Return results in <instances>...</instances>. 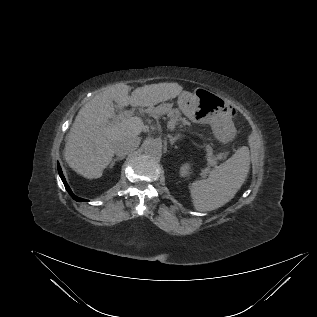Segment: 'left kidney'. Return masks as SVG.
Returning <instances> with one entry per match:
<instances>
[{"label": "left kidney", "mask_w": 317, "mask_h": 317, "mask_svg": "<svg viewBox=\"0 0 317 317\" xmlns=\"http://www.w3.org/2000/svg\"><path fill=\"white\" fill-rule=\"evenodd\" d=\"M190 170H191L190 165L188 163H185L180 168V175L182 177H187L190 175Z\"/></svg>", "instance_id": "1"}]
</instances>
